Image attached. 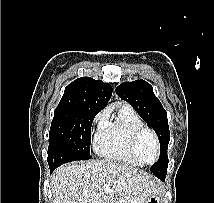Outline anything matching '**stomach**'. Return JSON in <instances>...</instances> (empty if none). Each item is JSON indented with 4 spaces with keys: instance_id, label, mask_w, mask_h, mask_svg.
<instances>
[{
    "instance_id": "1",
    "label": "stomach",
    "mask_w": 214,
    "mask_h": 203,
    "mask_svg": "<svg viewBox=\"0 0 214 203\" xmlns=\"http://www.w3.org/2000/svg\"><path fill=\"white\" fill-rule=\"evenodd\" d=\"M146 203H163V196L160 192L152 194Z\"/></svg>"
}]
</instances>
